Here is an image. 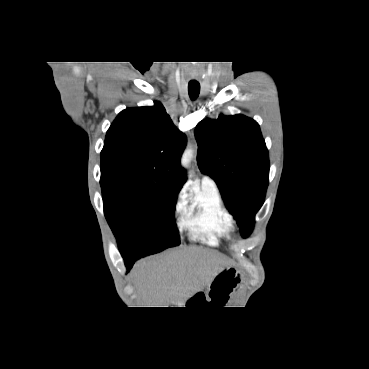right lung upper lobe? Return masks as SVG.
<instances>
[{"label": "right lung upper lobe", "mask_w": 369, "mask_h": 369, "mask_svg": "<svg viewBox=\"0 0 369 369\" xmlns=\"http://www.w3.org/2000/svg\"><path fill=\"white\" fill-rule=\"evenodd\" d=\"M185 134L174 126L160 102L127 108L107 131L101 172L131 174L143 182L178 194L186 181L180 158Z\"/></svg>", "instance_id": "obj_1"}]
</instances>
